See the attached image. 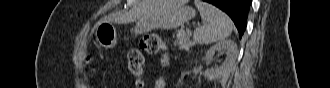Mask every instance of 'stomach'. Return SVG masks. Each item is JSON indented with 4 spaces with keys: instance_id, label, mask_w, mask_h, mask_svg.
I'll return each mask as SVG.
<instances>
[{
    "instance_id": "stomach-1",
    "label": "stomach",
    "mask_w": 330,
    "mask_h": 88,
    "mask_svg": "<svg viewBox=\"0 0 330 88\" xmlns=\"http://www.w3.org/2000/svg\"><path fill=\"white\" fill-rule=\"evenodd\" d=\"M195 10L180 0H155L150 15L136 23L135 35L147 33L153 29H177L195 17ZM96 40L102 47L113 48L117 44V31L114 24L103 21L96 28Z\"/></svg>"
}]
</instances>
